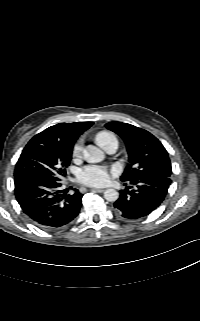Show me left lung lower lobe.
Wrapping results in <instances>:
<instances>
[{
    "label": "left lung lower lobe",
    "mask_w": 200,
    "mask_h": 321,
    "mask_svg": "<svg viewBox=\"0 0 200 321\" xmlns=\"http://www.w3.org/2000/svg\"><path fill=\"white\" fill-rule=\"evenodd\" d=\"M170 183L169 178L161 176L130 180L136 188L129 191L132 187L127 186L126 190L121 191L120 198L114 204L117 214L125 219H138L150 214L164 200Z\"/></svg>",
    "instance_id": "obj_1"
}]
</instances>
